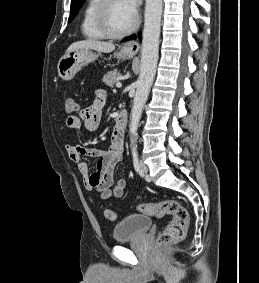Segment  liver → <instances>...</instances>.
Wrapping results in <instances>:
<instances>
[{
    "label": "liver",
    "instance_id": "6515ba94",
    "mask_svg": "<svg viewBox=\"0 0 259 283\" xmlns=\"http://www.w3.org/2000/svg\"><path fill=\"white\" fill-rule=\"evenodd\" d=\"M92 49L99 52L109 53L115 49V45L110 42L97 41L94 39H87L83 41H77L72 43L67 49V53L77 49Z\"/></svg>",
    "mask_w": 259,
    "mask_h": 283
}]
</instances>
